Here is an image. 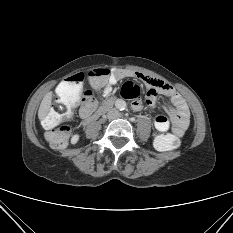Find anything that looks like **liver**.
Returning <instances> with one entry per match:
<instances>
[{"mask_svg": "<svg viewBox=\"0 0 233 233\" xmlns=\"http://www.w3.org/2000/svg\"><path fill=\"white\" fill-rule=\"evenodd\" d=\"M53 93L50 91L43 97L39 110H38V118L42 121L46 115L48 114L51 102H52Z\"/></svg>", "mask_w": 233, "mask_h": 233, "instance_id": "1", "label": "liver"}]
</instances>
